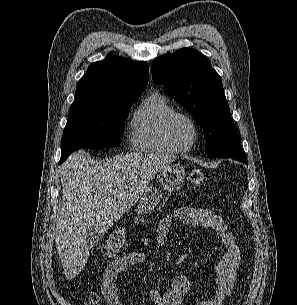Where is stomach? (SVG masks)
<instances>
[{"label": "stomach", "instance_id": "stomach-1", "mask_svg": "<svg viewBox=\"0 0 297 305\" xmlns=\"http://www.w3.org/2000/svg\"><path fill=\"white\" fill-rule=\"evenodd\" d=\"M158 179L165 190L170 192L176 191L181 188L185 180V170L179 164H169L159 171ZM161 199L162 194L157 187H147L140 198L137 206V213L146 214L153 211Z\"/></svg>", "mask_w": 297, "mask_h": 305}]
</instances>
